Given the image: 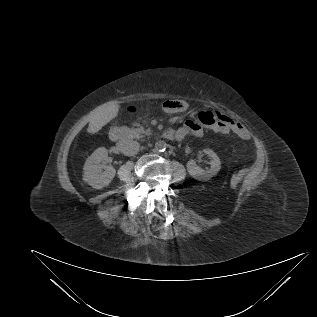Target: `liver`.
I'll return each mask as SVG.
<instances>
[{"instance_id": "obj_1", "label": "liver", "mask_w": 317, "mask_h": 317, "mask_svg": "<svg viewBox=\"0 0 317 317\" xmlns=\"http://www.w3.org/2000/svg\"><path fill=\"white\" fill-rule=\"evenodd\" d=\"M118 111L119 105L117 101H109L95 108L88 115L89 125L87 132L90 134L99 132L103 126L118 115Z\"/></svg>"}]
</instances>
